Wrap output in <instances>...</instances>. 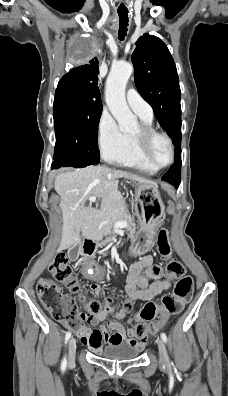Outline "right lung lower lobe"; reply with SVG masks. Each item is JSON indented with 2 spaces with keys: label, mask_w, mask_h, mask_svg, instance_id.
Returning <instances> with one entry per match:
<instances>
[{
  "label": "right lung lower lobe",
  "mask_w": 228,
  "mask_h": 396,
  "mask_svg": "<svg viewBox=\"0 0 228 396\" xmlns=\"http://www.w3.org/2000/svg\"><path fill=\"white\" fill-rule=\"evenodd\" d=\"M60 167H61V165H59V164H55V163L52 164V169H57Z\"/></svg>",
  "instance_id": "1"
}]
</instances>
